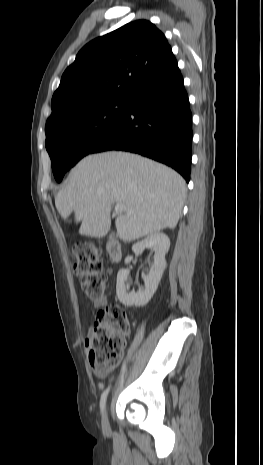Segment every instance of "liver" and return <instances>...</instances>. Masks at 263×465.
I'll return each mask as SVG.
<instances>
[{
	"instance_id": "6515ba94",
	"label": "liver",
	"mask_w": 263,
	"mask_h": 465,
	"mask_svg": "<svg viewBox=\"0 0 263 465\" xmlns=\"http://www.w3.org/2000/svg\"><path fill=\"white\" fill-rule=\"evenodd\" d=\"M186 184L174 170L127 152L110 151L84 157L55 197L66 220L72 212L81 235L105 236L113 204H122L115 225L119 238L131 242L174 229L179 221Z\"/></svg>"
}]
</instances>
